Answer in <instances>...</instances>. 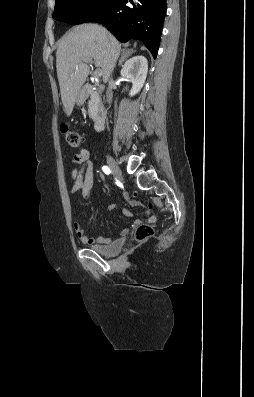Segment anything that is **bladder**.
I'll return each mask as SVG.
<instances>
[{"label":"bladder","mask_w":254,"mask_h":397,"mask_svg":"<svg viewBox=\"0 0 254 397\" xmlns=\"http://www.w3.org/2000/svg\"><path fill=\"white\" fill-rule=\"evenodd\" d=\"M123 241L117 240L108 245H98L92 247V249L103 256H114L117 255L123 248Z\"/></svg>","instance_id":"obj_1"}]
</instances>
